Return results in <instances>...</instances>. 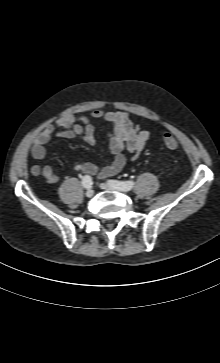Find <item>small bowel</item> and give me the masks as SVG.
<instances>
[{"instance_id": "obj_1", "label": "small bowel", "mask_w": 220, "mask_h": 363, "mask_svg": "<svg viewBox=\"0 0 220 363\" xmlns=\"http://www.w3.org/2000/svg\"><path fill=\"white\" fill-rule=\"evenodd\" d=\"M99 119H104L112 125V131L108 134V139L110 150L115 155L113 162L108 166L99 168L93 163L75 161L72 164V170L97 175L100 179L117 174L126 164L127 157L125 152L129 153L131 161L137 159L150 138V133L147 130L140 128L137 123L131 120L127 113L121 111L104 112L102 110H95L90 116L72 114L60 119L56 123L48 124L34 138L31 146V155L37 160H43L46 157L45 145L49 143L56 131L64 138H81L87 144L94 145L96 137L92 121ZM31 173L35 176L43 177L50 184H55L59 181V177L49 166L41 167L34 165L31 167Z\"/></svg>"}]
</instances>
